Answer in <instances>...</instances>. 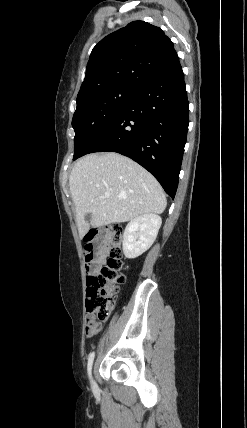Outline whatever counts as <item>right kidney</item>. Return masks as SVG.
I'll use <instances>...</instances> for the list:
<instances>
[{
	"label": "right kidney",
	"instance_id": "1",
	"mask_svg": "<svg viewBox=\"0 0 247 428\" xmlns=\"http://www.w3.org/2000/svg\"><path fill=\"white\" fill-rule=\"evenodd\" d=\"M162 219L152 213L136 217L128 223L123 233V252L126 258H136L154 243Z\"/></svg>",
	"mask_w": 247,
	"mask_h": 428
}]
</instances>
